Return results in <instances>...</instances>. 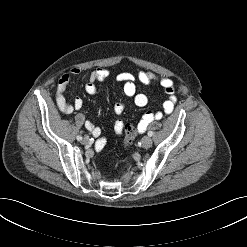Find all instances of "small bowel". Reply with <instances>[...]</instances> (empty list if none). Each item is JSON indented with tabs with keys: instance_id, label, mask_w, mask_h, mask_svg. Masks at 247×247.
<instances>
[{
	"instance_id": "c3829d8e",
	"label": "small bowel",
	"mask_w": 247,
	"mask_h": 247,
	"mask_svg": "<svg viewBox=\"0 0 247 247\" xmlns=\"http://www.w3.org/2000/svg\"><path fill=\"white\" fill-rule=\"evenodd\" d=\"M81 74L79 68H72L69 73L64 74L59 80L56 91V103L58 108L65 114H70L75 110H79L83 105V100L80 97H75L72 102H68L65 97V88L73 77H77ZM110 71L107 68L95 69L89 78V81L85 84L84 90L88 94H95L97 91V83H101L107 79ZM136 79L143 85H151L159 83L168 98L163 103V112L165 114H171L174 110L177 98L174 94V83L169 78H159L155 73L149 71H139L137 77L129 72H122L117 75L116 81L123 84V90L129 99H132L135 105L138 107H144L148 103V98L145 94L137 91ZM126 108V103L121 101L115 104L114 113L120 116ZM163 112H146L140 119L137 125L139 132H144L149 124L155 120H159L163 117ZM86 129L92 134L93 137L99 138L97 142V148H102L105 145V139L101 138V129L93 122L86 120L84 122ZM125 124L122 119H116L114 122V130L117 134H121L124 130Z\"/></svg>"
}]
</instances>
